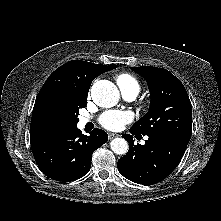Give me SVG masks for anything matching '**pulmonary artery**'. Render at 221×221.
<instances>
[{
	"mask_svg": "<svg viewBox=\"0 0 221 221\" xmlns=\"http://www.w3.org/2000/svg\"><path fill=\"white\" fill-rule=\"evenodd\" d=\"M123 96L127 99V100H134L137 96V92L135 91H126V92H122ZM81 126H84L86 123H88V119L87 118H81L79 121Z\"/></svg>",
	"mask_w": 221,
	"mask_h": 221,
	"instance_id": "obj_1",
	"label": "pulmonary artery"
}]
</instances>
